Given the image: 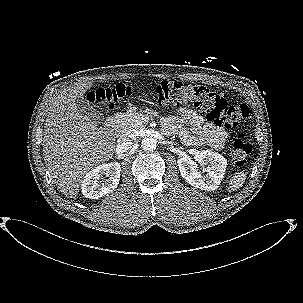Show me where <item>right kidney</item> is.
Masks as SVG:
<instances>
[{
    "mask_svg": "<svg viewBox=\"0 0 303 303\" xmlns=\"http://www.w3.org/2000/svg\"><path fill=\"white\" fill-rule=\"evenodd\" d=\"M121 166L118 162L102 164L89 171L82 181V194L86 198L98 199L117 188ZM103 176L108 177L106 179Z\"/></svg>",
    "mask_w": 303,
    "mask_h": 303,
    "instance_id": "1",
    "label": "right kidney"
}]
</instances>
